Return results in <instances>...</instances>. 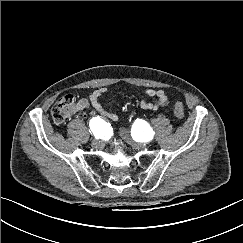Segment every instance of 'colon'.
I'll return each instance as SVG.
<instances>
[{"label":"colon","instance_id":"obj_1","mask_svg":"<svg viewBox=\"0 0 243 243\" xmlns=\"http://www.w3.org/2000/svg\"><path fill=\"white\" fill-rule=\"evenodd\" d=\"M76 106V100L73 95H64L62 96L52 107L51 115L52 119L56 124L65 123L72 113ZM174 115L178 119H183L185 116L184 107L181 102H176L174 104Z\"/></svg>","mask_w":243,"mask_h":243}]
</instances>
